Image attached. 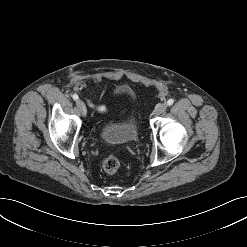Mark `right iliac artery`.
<instances>
[{"label": "right iliac artery", "instance_id": "1", "mask_svg": "<svg viewBox=\"0 0 247 247\" xmlns=\"http://www.w3.org/2000/svg\"><path fill=\"white\" fill-rule=\"evenodd\" d=\"M72 98H73L74 100H78V99H79V97H78L77 94H73V95H72Z\"/></svg>", "mask_w": 247, "mask_h": 247}]
</instances>
